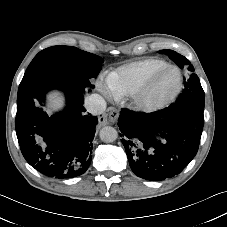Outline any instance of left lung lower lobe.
<instances>
[{"label":"left lung lower lobe","instance_id":"0a47b994","mask_svg":"<svg viewBox=\"0 0 227 227\" xmlns=\"http://www.w3.org/2000/svg\"><path fill=\"white\" fill-rule=\"evenodd\" d=\"M203 112L204 100L193 98L152 113L122 109L118 126L132 171L154 181L179 174L198 151Z\"/></svg>","mask_w":227,"mask_h":227}]
</instances>
